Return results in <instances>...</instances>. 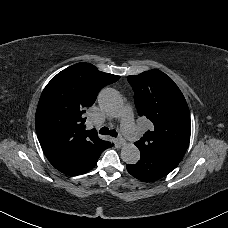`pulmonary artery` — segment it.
<instances>
[{
  "mask_svg": "<svg viewBox=\"0 0 228 228\" xmlns=\"http://www.w3.org/2000/svg\"><path fill=\"white\" fill-rule=\"evenodd\" d=\"M120 130L126 139H137L143 135V128L135 126V121L132 119V107L123 105L121 107Z\"/></svg>",
  "mask_w": 228,
  "mask_h": 228,
  "instance_id": "obj_1",
  "label": "pulmonary artery"
}]
</instances>
